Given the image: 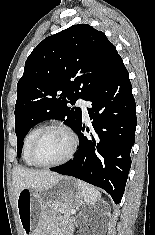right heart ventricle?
<instances>
[{"mask_svg": "<svg viewBox=\"0 0 155 235\" xmlns=\"http://www.w3.org/2000/svg\"><path fill=\"white\" fill-rule=\"evenodd\" d=\"M43 127H44L43 124H38V125L34 126L33 128H31L28 131V133L25 135V137L23 139L22 159H23V162L28 166H34V164L32 163V161L30 160V157H29V150H30V146H31L33 140L35 139L37 134L43 129Z\"/></svg>", "mask_w": 155, "mask_h": 235, "instance_id": "1", "label": "right heart ventricle"}]
</instances>
